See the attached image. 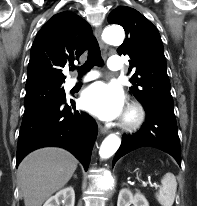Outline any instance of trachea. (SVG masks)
<instances>
[{
  "instance_id": "obj_1",
  "label": "trachea",
  "mask_w": 197,
  "mask_h": 206,
  "mask_svg": "<svg viewBox=\"0 0 197 206\" xmlns=\"http://www.w3.org/2000/svg\"><path fill=\"white\" fill-rule=\"evenodd\" d=\"M94 65H99V66L103 65V60L101 57L100 48L97 40L95 38H92L89 44L87 61L78 70L79 76H82L86 72L90 71V69ZM73 70L74 67L71 68V71Z\"/></svg>"
}]
</instances>
